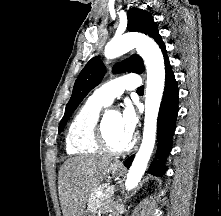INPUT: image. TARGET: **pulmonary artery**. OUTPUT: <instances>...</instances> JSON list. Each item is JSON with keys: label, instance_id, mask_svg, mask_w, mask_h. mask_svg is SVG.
Here are the masks:
<instances>
[{"label": "pulmonary artery", "instance_id": "pulmonary-artery-1", "mask_svg": "<svg viewBox=\"0 0 221 216\" xmlns=\"http://www.w3.org/2000/svg\"><path fill=\"white\" fill-rule=\"evenodd\" d=\"M140 86V79L137 75L126 74L110 80L95 89L91 98L104 103L111 104L113 100L121 95L125 90H133Z\"/></svg>", "mask_w": 221, "mask_h": 216}]
</instances>
